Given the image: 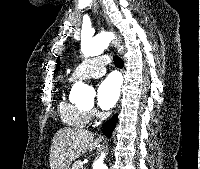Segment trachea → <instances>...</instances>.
<instances>
[{
    "label": "trachea",
    "instance_id": "obj_1",
    "mask_svg": "<svg viewBox=\"0 0 200 169\" xmlns=\"http://www.w3.org/2000/svg\"><path fill=\"white\" fill-rule=\"evenodd\" d=\"M114 64L118 68H123V66H124L123 60L118 56H114Z\"/></svg>",
    "mask_w": 200,
    "mask_h": 169
}]
</instances>
